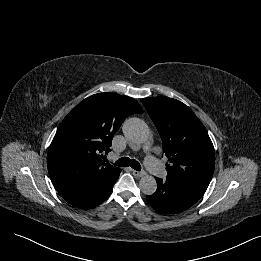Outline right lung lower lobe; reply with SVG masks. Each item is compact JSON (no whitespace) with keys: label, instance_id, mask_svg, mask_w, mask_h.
<instances>
[{"label":"right lung lower lobe","instance_id":"right-lung-lower-lobe-1","mask_svg":"<svg viewBox=\"0 0 261 261\" xmlns=\"http://www.w3.org/2000/svg\"><path fill=\"white\" fill-rule=\"evenodd\" d=\"M119 174L120 171L117 172L112 178H110L104 184H102L99 188L91 191L90 193L80 195L66 201L69 204L82 209H90L96 207L104 200H106L108 196L111 194L113 185L118 179Z\"/></svg>","mask_w":261,"mask_h":261}]
</instances>
